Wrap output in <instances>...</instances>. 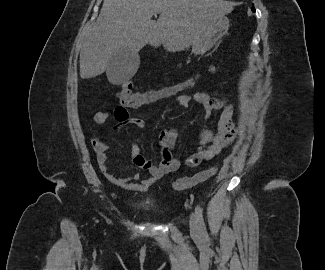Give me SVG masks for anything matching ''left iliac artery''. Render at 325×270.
I'll return each mask as SVG.
<instances>
[{
	"mask_svg": "<svg viewBox=\"0 0 325 270\" xmlns=\"http://www.w3.org/2000/svg\"><path fill=\"white\" fill-rule=\"evenodd\" d=\"M195 213H196L200 233L203 238H207L208 235H207L206 226L203 219V212H202V208L199 205L196 206Z\"/></svg>",
	"mask_w": 325,
	"mask_h": 270,
	"instance_id": "obj_1",
	"label": "left iliac artery"
}]
</instances>
